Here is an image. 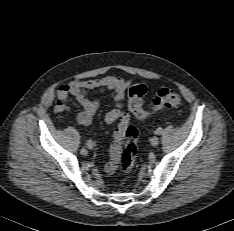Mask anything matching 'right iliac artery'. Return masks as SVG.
I'll use <instances>...</instances> for the list:
<instances>
[{
  "label": "right iliac artery",
  "mask_w": 234,
  "mask_h": 231,
  "mask_svg": "<svg viewBox=\"0 0 234 231\" xmlns=\"http://www.w3.org/2000/svg\"><path fill=\"white\" fill-rule=\"evenodd\" d=\"M87 147L89 149H93L95 147V143L93 141H91V140H88L87 141Z\"/></svg>",
  "instance_id": "obj_1"
}]
</instances>
